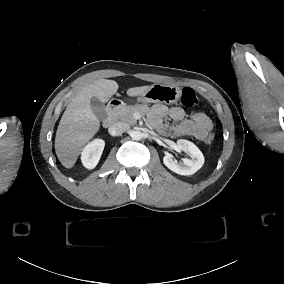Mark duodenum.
I'll return each mask as SVG.
<instances>
[{
  "mask_svg": "<svg viewBox=\"0 0 284 284\" xmlns=\"http://www.w3.org/2000/svg\"><path fill=\"white\" fill-rule=\"evenodd\" d=\"M122 103L119 100H114L110 102L109 109L105 112V115L102 119V125L104 127L111 126L115 119L118 111L121 109Z\"/></svg>",
  "mask_w": 284,
  "mask_h": 284,
  "instance_id": "1",
  "label": "duodenum"
}]
</instances>
